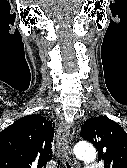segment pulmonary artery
<instances>
[{"label": "pulmonary artery", "instance_id": "obj_1", "mask_svg": "<svg viewBox=\"0 0 127 168\" xmlns=\"http://www.w3.org/2000/svg\"><path fill=\"white\" fill-rule=\"evenodd\" d=\"M84 168H100L98 164L89 163Z\"/></svg>", "mask_w": 127, "mask_h": 168}]
</instances>
